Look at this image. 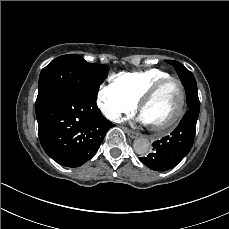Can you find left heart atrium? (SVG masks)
<instances>
[{"label": "left heart atrium", "instance_id": "left-heart-atrium-1", "mask_svg": "<svg viewBox=\"0 0 229 229\" xmlns=\"http://www.w3.org/2000/svg\"><path fill=\"white\" fill-rule=\"evenodd\" d=\"M139 121H140L141 123H143V124H147V123L145 122V120H144L142 117L139 118Z\"/></svg>", "mask_w": 229, "mask_h": 229}]
</instances>
